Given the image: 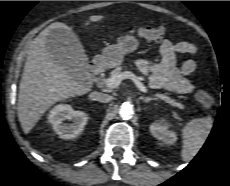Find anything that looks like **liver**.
Returning a JSON list of instances; mask_svg holds the SVG:
<instances>
[{
	"label": "liver",
	"mask_w": 230,
	"mask_h": 186,
	"mask_svg": "<svg viewBox=\"0 0 230 186\" xmlns=\"http://www.w3.org/2000/svg\"><path fill=\"white\" fill-rule=\"evenodd\" d=\"M103 19V16L92 15L87 22H99ZM56 28L72 32L65 23H52L32 41L29 47L19 85L17 106L19 122L25 134L30 132L42 115L56 102L91 91L73 79L47 51L46 37Z\"/></svg>",
	"instance_id": "6515ba94"
}]
</instances>
